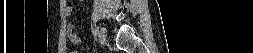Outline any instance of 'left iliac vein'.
I'll return each mask as SVG.
<instances>
[{"instance_id":"1","label":"left iliac vein","mask_w":253,"mask_h":53,"mask_svg":"<svg viewBox=\"0 0 253 53\" xmlns=\"http://www.w3.org/2000/svg\"><path fill=\"white\" fill-rule=\"evenodd\" d=\"M99 33H100V36H99L100 41L105 42L106 41V30H105V28H101Z\"/></svg>"}]
</instances>
